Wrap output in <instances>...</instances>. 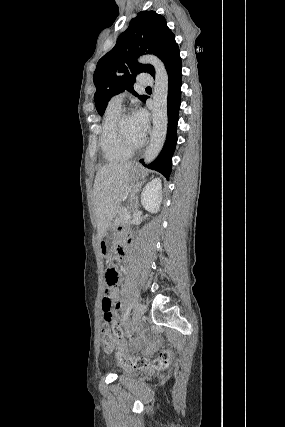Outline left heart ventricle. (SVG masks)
<instances>
[{"label": "left heart ventricle", "mask_w": 285, "mask_h": 427, "mask_svg": "<svg viewBox=\"0 0 285 427\" xmlns=\"http://www.w3.org/2000/svg\"><path fill=\"white\" fill-rule=\"evenodd\" d=\"M123 131L125 133L126 138L130 143L137 144L142 141L141 137L139 136L133 117L129 116L125 118L123 122Z\"/></svg>", "instance_id": "obj_1"}]
</instances>
